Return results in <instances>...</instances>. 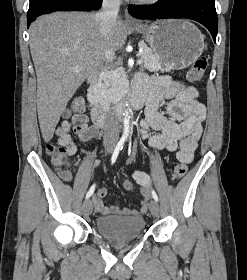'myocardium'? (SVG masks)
Returning <instances> with one entry per match:
<instances>
[{
    "label": "myocardium",
    "instance_id": "1",
    "mask_svg": "<svg viewBox=\"0 0 247 280\" xmlns=\"http://www.w3.org/2000/svg\"><path fill=\"white\" fill-rule=\"evenodd\" d=\"M138 2H141V3H154V2H157L158 0H136Z\"/></svg>",
    "mask_w": 247,
    "mask_h": 280
}]
</instances>
